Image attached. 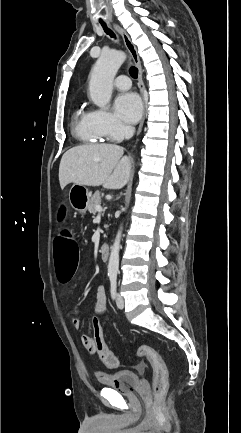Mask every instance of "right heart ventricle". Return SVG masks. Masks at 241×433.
<instances>
[{
	"label": "right heart ventricle",
	"instance_id": "right-heart-ventricle-1",
	"mask_svg": "<svg viewBox=\"0 0 241 433\" xmlns=\"http://www.w3.org/2000/svg\"><path fill=\"white\" fill-rule=\"evenodd\" d=\"M73 134L80 141L86 143H98L105 139V136L98 130L94 111L80 106L73 115Z\"/></svg>",
	"mask_w": 241,
	"mask_h": 433
}]
</instances>
